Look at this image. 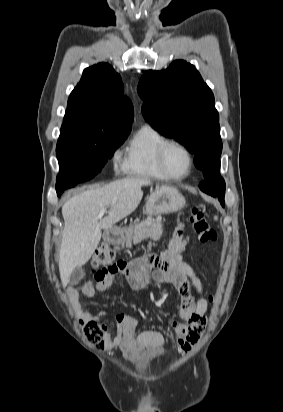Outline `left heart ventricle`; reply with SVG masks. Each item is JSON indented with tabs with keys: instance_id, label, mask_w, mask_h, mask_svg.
I'll list each match as a JSON object with an SVG mask.
<instances>
[{
	"instance_id": "left-heart-ventricle-1",
	"label": "left heart ventricle",
	"mask_w": 283,
	"mask_h": 412,
	"mask_svg": "<svg viewBox=\"0 0 283 412\" xmlns=\"http://www.w3.org/2000/svg\"><path fill=\"white\" fill-rule=\"evenodd\" d=\"M188 165V157L182 149L178 147L169 149L166 156V166L170 172L177 175L184 174Z\"/></svg>"
}]
</instances>
